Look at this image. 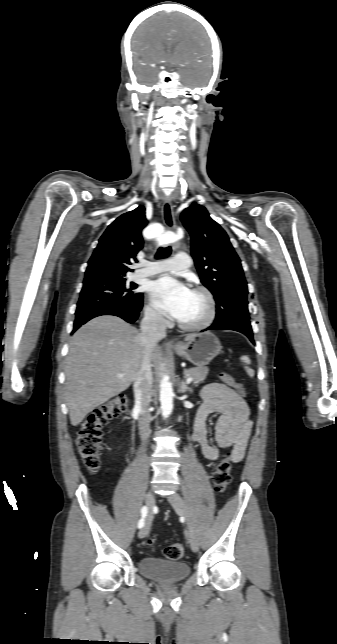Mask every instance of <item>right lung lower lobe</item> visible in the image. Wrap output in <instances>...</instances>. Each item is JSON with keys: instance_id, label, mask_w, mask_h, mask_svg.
Returning <instances> with one entry per match:
<instances>
[{"instance_id": "1", "label": "right lung lower lobe", "mask_w": 337, "mask_h": 644, "mask_svg": "<svg viewBox=\"0 0 337 644\" xmlns=\"http://www.w3.org/2000/svg\"><path fill=\"white\" fill-rule=\"evenodd\" d=\"M142 306H143V296L135 303H132L129 305L100 308V309L84 312L81 314H77L74 321V328L72 332H75L81 325H83L90 319L101 315H114L124 319L128 323H134L140 315Z\"/></svg>"}]
</instances>
